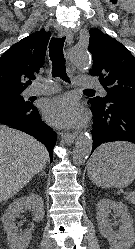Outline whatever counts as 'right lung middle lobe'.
Instances as JSON below:
<instances>
[{"label":"right lung middle lobe","instance_id":"dd1d6c3e","mask_svg":"<svg viewBox=\"0 0 135 249\" xmlns=\"http://www.w3.org/2000/svg\"><path fill=\"white\" fill-rule=\"evenodd\" d=\"M22 91L20 92H0V97H7L11 98L17 101H20L22 103H26L27 101L24 100V98L21 96Z\"/></svg>","mask_w":135,"mask_h":249}]
</instances>
